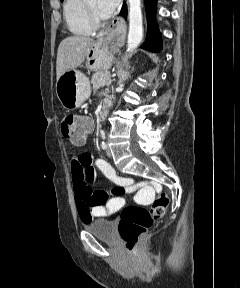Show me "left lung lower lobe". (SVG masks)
Returning <instances> with one entry per match:
<instances>
[{
    "mask_svg": "<svg viewBox=\"0 0 240 288\" xmlns=\"http://www.w3.org/2000/svg\"><path fill=\"white\" fill-rule=\"evenodd\" d=\"M156 2L157 0H146L148 29H147L146 42L142 46V48L151 52H158L162 48L160 32L154 18L156 10ZM120 15L124 16L125 18L127 17V7L125 3L123 4Z\"/></svg>",
    "mask_w": 240,
    "mask_h": 288,
    "instance_id": "0a47b994",
    "label": "left lung lower lobe"
}]
</instances>
